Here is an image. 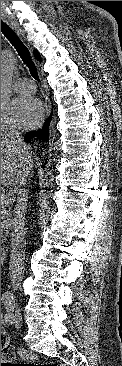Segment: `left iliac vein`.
I'll return each mask as SVG.
<instances>
[{
	"label": "left iliac vein",
	"mask_w": 122,
	"mask_h": 366,
	"mask_svg": "<svg viewBox=\"0 0 122 366\" xmlns=\"http://www.w3.org/2000/svg\"><path fill=\"white\" fill-rule=\"evenodd\" d=\"M20 323H21V315H20V312L17 310L15 312L14 324L16 327H19Z\"/></svg>",
	"instance_id": "1"
}]
</instances>
